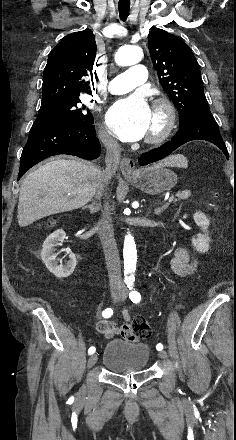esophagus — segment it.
I'll return each instance as SVG.
<instances>
[{
    "mask_svg": "<svg viewBox=\"0 0 236 440\" xmlns=\"http://www.w3.org/2000/svg\"><path fill=\"white\" fill-rule=\"evenodd\" d=\"M120 169L122 174L129 178L136 174V165L133 159L123 158L120 162Z\"/></svg>",
    "mask_w": 236,
    "mask_h": 440,
    "instance_id": "1",
    "label": "esophagus"
}]
</instances>
